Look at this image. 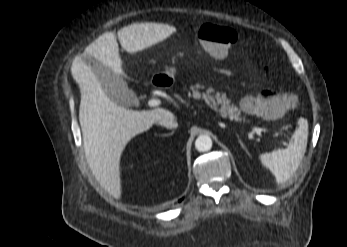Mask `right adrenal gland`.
I'll return each instance as SVG.
<instances>
[{
    "label": "right adrenal gland",
    "mask_w": 347,
    "mask_h": 247,
    "mask_svg": "<svg viewBox=\"0 0 347 247\" xmlns=\"http://www.w3.org/2000/svg\"><path fill=\"white\" fill-rule=\"evenodd\" d=\"M174 133V131H172L171 133H169V134H163V135H160L161 137H168V136H170V135H172Z\"/></svg>",
    "instance_id": "1"
}]
</instances>
